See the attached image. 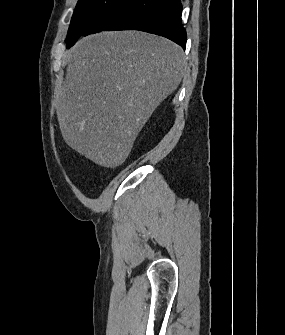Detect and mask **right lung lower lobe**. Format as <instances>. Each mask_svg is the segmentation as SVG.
I'll return each instance as SVG.
<instances>
[{
  "mask_svg": "<svg viewBox=\"0 0 285 335\" xmlns=\"http://www.w3.org/2000/svg\"><path fill=\"white\" fill-rule=\"evenodd\" d=\"M181 15L180 0H119L83 35L100 31L140 30L166 37L185 49L187 36Z\"/></svg>",
  "mask_w": 285,
  "mask_h": 335,
  "instance_id": "98d812e1",
  "label": "right lung lower lobe"
}]
</instances>
